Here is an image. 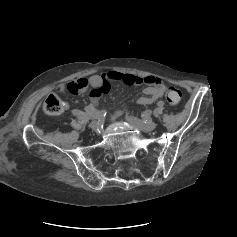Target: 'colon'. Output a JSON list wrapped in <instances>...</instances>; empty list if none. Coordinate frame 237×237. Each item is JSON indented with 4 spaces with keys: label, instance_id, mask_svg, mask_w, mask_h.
I'll return each mask as SVG.
<instances>
[{
    "label": "colon",
    "instance_id": "5ec220e1",
    "mask_svg": "<svg viewBox=\"0 0 237 237\" xmlns=\"http://www.w3.org/2000/svg\"><path fill=\"white\" fill-rule=\"evenodd\" d=\"M165 97L169 104L177 105L181 101L182 93L179 89L170 86L166 89ZM42 109L46 114L57 115L63 110V102L57 94L51 93L44 100Z\"/></svg>",
    "mask_w": 237,
    "mask_h": 237
}]
</instances>
